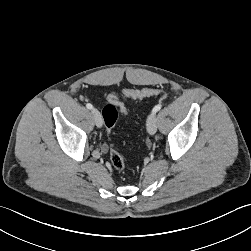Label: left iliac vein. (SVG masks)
<instances>
[{
  "label": "left iliac vein",
  "instance_id": "4c4485c4",
  "mask_svg": "<svg viewBox=\"0 0 251 251\" xmlns=\"http://www.w3.org/2000/svg\"><path fill=\"white\" fill-rule=\"evenodd\" d=\"M147 131L149 134L154 135L157 131V118L156 113H151L146 122Z\"/></svg>",
  "mask_w": 251,
  "mask_h": 251
}]
</instances>
